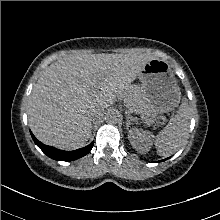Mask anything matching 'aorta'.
I'll use <instances>...</instances> for the list:
<instances>
[{"mask_svg": "<svg viewBox=\"0 0 220 220\" xmlns=\"http://www.w3.org/2000/svg\"><path fill=\"white\" fill-rule=\"evenodd\" d=\"M107 120L111 123H115L118 120V113L111 111L107 114Z\"/></svg>", "mask_w": 220, "mask_h": 220, "instance_id": "aorta-1", "label": "aorta"}]
</instances>
